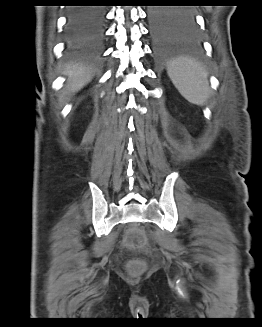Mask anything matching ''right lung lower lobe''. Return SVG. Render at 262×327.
Here are the masks:
<instances>
[{
  "label": "right lung lower lobe",
  "mask_w": 262,
  "mask_h": 327,
  "mask_svg": "<svg viewBox=\"0 0 262 327\" xmlns=\"http://www.w3.org/2000/svg\"><path fill=\"white\" fill-rule=\"evenodd\" d=\"M106 15L100 7H74L68 14L67 36L71 45H99L105 34Z\"/></svg>",
  "instance_id": "1"
}]
</instances>
